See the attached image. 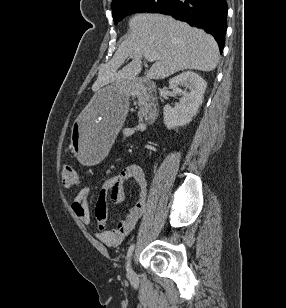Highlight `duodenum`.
<instances>
[{
	"mask_svg": "<svg viewBox=\"0 0 286 308\" xmlns=\"http://www.w3.org/2000/svg\"><path fill=\"white\" fill-rule=\"evenodd\" d=\"M132 85L135 90L145 91L146 93L150 95V106L148 110V118L145 123H151L157 118L158 113H159V102L157 98L155 97L157 86L150 79L143 78V77L136 78L133 81Z\"/></svg>",
	"mask_w": 286,
	"mask_h": 308,
	"instance_id": "obj_1",
	"label": "duodenum"
}]
</instances>
